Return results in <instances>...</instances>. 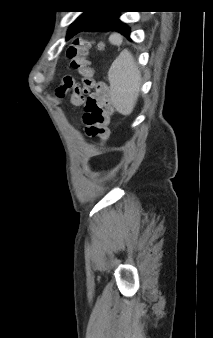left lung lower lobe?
Listing matches in <instances>:
<instances>
[{
    "label": "left lung lower lobe",
    "instance_id": "obj_1",
    "mask_svg": "<svg viewBox=\"0 0 213 338\" xmlns=\"http://www.w3.org/2000/svg\"><path fill=\"white\" fill-rule=\"evenodd\" d=\"M119 10L85 11L69 28L67 39L81 31H117L129 38L130 29L119 21Z\"/></svg>",
    "mask_w": 213,
    "mask_h": 338
}]
</instances>
